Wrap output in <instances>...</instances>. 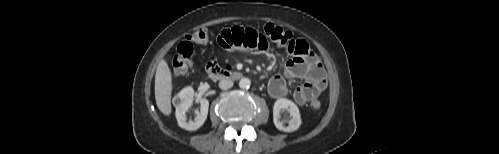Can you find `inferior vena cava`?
<instances>
[{
  "mask_svg": "<svg viewBox=\"0 0 499 154\" xmlns=\"http://www.w3.org/2000/svg\"><path fill=\"white\" fill-rule=\"evenodd\" d=\"M233 86V81L230 79H223L219 82V87L222 90H227Z\"/></svg>",
  "mask_w": 499,
  "mask_h": 154,
  "instance_id": "obj_1",
  "label": "inferior vena cava"
}]
</instances>
